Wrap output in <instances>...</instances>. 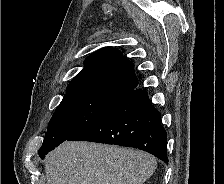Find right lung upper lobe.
<instances>
[{"label": "right lung upper lobe", "mask_w": 224, "mask_h": 184, "mask_svg": "<svg viewBox=\"0 0 224 184\" xmlns=\"http://www.w3.org/2000/svg\"><path fill=\"white\" fill-rule=\"evenodd\" d=\"M85 67L72 79L67 89L92 83L106 82L136 88L138 79L133 64L114 48L105 47L85 59Z\"/></svg>", "instance_id": "right-lung-upper-lobe-1"}]
</instances>
